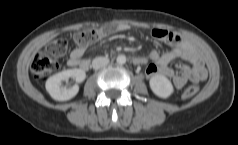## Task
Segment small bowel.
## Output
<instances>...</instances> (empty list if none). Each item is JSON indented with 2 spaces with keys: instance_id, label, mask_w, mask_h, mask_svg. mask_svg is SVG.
I'll list each match as a JSON object with an SVG mask.
<instances>
[{
  "instance_id": "c3829d8e",
  "label": "small bowel",
  "mask_w": 238,
  "mask_h": 145,
  "mask_svg": "<svg viewBox=\"0 0 238 145\" xmlns=\"http://www.w3.org/2000/svg\"><path fill=\"white\" fill-rule=\"evenodd\" d=\"M130 29L131 27L128 24L119 23L114 28V31L124 32ZM152 35L158 40L170 43L172 48L164 53H159L153 50L148 56L137 57L139 59L138 65H143L150 61L146 68V75L148 77L162 75L172 78L174 86L178 89L182 88L188 81L198 83L206 78L207 70L204 66L201 55L181 36L162 29H154ZM83 54L84 48H74L69 55L67 61L68 66L88 70L90 67V61L84 59ZM177 58H181L190 63L191 67L178 64L177 68L179 71L174 72L170 67V63Z\"/></svg>"
}]
</instances>
